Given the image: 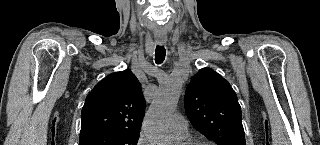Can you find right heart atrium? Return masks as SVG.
I'll use <instances>...</instances> for the list:
<instances>
[{"instance_id": "1", "label": "right heart atrium", "mask_w": 320, "mask_h": 145, "mask_svg": "<svg viewBox=\"0 0 320 145\" xmlns=\"http://www.w3.org/2000/svg\"><path fill=\"white\" fill-rule=\"evenodd\" d=\"M137 145H150V142L145 135L141 134L137 140Z\"/></svg>"}]
</instances>
